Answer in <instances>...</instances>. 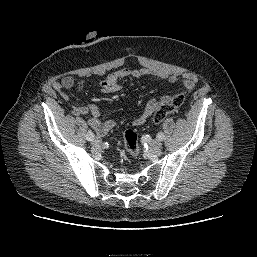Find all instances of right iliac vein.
I'll use <instances>...</instances> for the list:
<instances>
[{
  "instance_id": "63e3f726",
  "label": "right iliac vein",
  "mask_w": 257,
  "mask_h": 257,
  "mask_svg": "<svg viewBox=\"0 0 257 257\" xmlns=\"http://www.w3.org/2000/svg\"><path fill=\"white\" fill-rule=\"evenodd\" d=\"M92 144L94 146H99L101 144V139L100 138H95L93 141H92Z\"/></svg>"
}]
</instances>
